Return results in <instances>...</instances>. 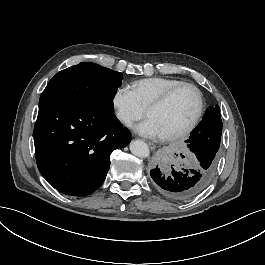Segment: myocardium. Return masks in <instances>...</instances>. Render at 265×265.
Segmentation results:
<instances>
[{
    "label": "myocardium",
    "instance_id": "myocardium-1",
    "mask_svg": "<svg viewBox=\"0 0 265 265\" xmlns=\"http://www.w3.org/2000/svg\"><path fill=\"white\" fill-rule=\"evenodd\" d=\"M185 89H191L194 91V93L196 94L197 97V102H198V107H197V111L196 114L194 116V118L192 119V121L181 131L171 134V135H167L164 136V140L167 141H175V140H179L182 138L187 137L198 125V123L200 122V120L203 117L204 114V97L203 94L201 92V90L194 84L192 83H183L173 89H171L170 91H168L166 94H164L161 98H159L156 102H154L152 105H150L147 110H146V115H148V113L150 111H154V110H158L163 108L164 106H166L179 92H181L182 90Z\"/></svg>",
    "mask_w": 265,
    "mask_h": 265
}]
</instances>
